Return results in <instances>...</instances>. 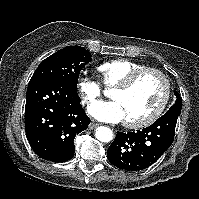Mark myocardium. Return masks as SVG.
<instances>
[{
	"label": "myocardium",
	"instance_id": "myocardium-1",
	"mask_svg": "<svg viewBox=\"0 0 199 199\" xmlns=\"http://www.w3.org/2000/svg\"><path fill=\"white\" fill-rule=\"evenodd\" d=\"M154 73L158 75L164 82V94L157 107L146 117L140 120H125L124 124L128 128L137 129L149 126L154 123L164 112L170 96H171V82L168 76L158 68L144 67L131 73L124 81L113 87V90L128 91L130 90L144 75Z\"/></svg>",
	"mask_w": 199,
	"mask_h": 199
}]
</instances>
